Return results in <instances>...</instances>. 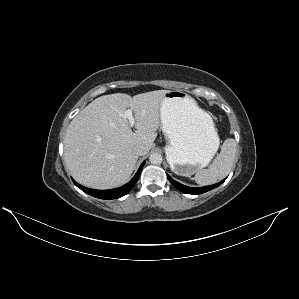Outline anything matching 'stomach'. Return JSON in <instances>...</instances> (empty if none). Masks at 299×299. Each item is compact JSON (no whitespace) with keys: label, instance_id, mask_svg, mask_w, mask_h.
Returning a JSON list of instances; mask_svg holds the SVG:
<instances>
[{"label":"stomach","instance_id":"stomach-1","mask_svg":"<svg viewBox=\"0 0 299 299\" xmlns=\"http://www.w3.org/2000/svg\"><path fill=\"white\" fill-rule=\"evenodd\" d=\"M160 127L172 172L191 176L207 166L219 147L211 116L182 91L167 92L160 107Z\"/></svg>","mask_w":299,"mask_h":299}]
</instances>
